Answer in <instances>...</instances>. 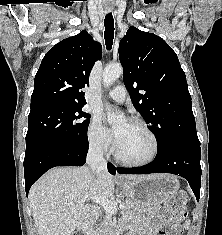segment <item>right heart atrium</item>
Returning a JSON list of instances; mask_svg holds the SVG:
<instances>
[{
  "label": "right heart atrium",
  "instance_id": "obj_1",
  "mask_svg": "<svg viewBox=\"0 0 222 235\" xmlns=\"http://www.w3.org/2000/svg\"><path fill=\"white\" fill-rule=\"evenodd\" d=\"M88 141L90 147L97 153L107 154L112 148V140L103 126L99 116H94L88 127Z\"/></svg>",
  "mask_w": 222,
  "mask_h": 235
}]
</instances>
